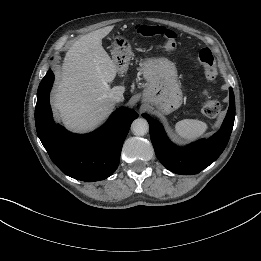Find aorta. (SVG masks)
I'll return each mask as SVG.
<instances>
[{"mask_svg": "<svg viewBox=\"0 0 261 261\" xmlns=\"http://www.w3.org/2000/svg\"><path fill=\"white\" fill-rule=\"evenodd\" d=\"M131 130L135 135L143 136L149 130L148 122L143 118H138L133 121L131 125Z\"/></svg>", "mask_w": 261, "mask_h": 261, "instance_id": "1", "label": "aorta"}]
</instances>
